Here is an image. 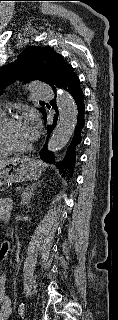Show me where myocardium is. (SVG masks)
Here are the masks:
<instances>
[{
	"label": "myocardium",
	"mask_w": 118,
	"mask_h": 320,
	"mask_svg": "<svg viewBox=\"0 0 118 320\" xmlns=\"http://www.w3.org/2000/svg\"><path fill=\"white\" fill-rule=\"evenodd\" d=\"M19 122H21V119L16 116L3 117L0 120V146L9 153L23 154V153L30 151L33 147L30 144L29 146L24 147V148H15L7 142L5 135H4L5 130L7 129L8 126L15 124V123H19Z\"/></svg>",
	"instance_id": "myocardium-1"
}]
</instances>
